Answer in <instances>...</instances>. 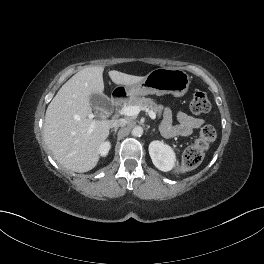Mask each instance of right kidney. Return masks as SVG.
Wrapping results in <instances>:
<instances>
[{"label": "right kidney", "mask_w": 264, "mask_h": 264, "mask_svg": "<svg viewBox=\"0 0 264 264\" xmlns=\"http://www.w3.org/2000/svg\"><path fill=\"white\" fill-rule=\"evenodd\" d=\"M111 148V145L109 142H104L99 147V153L101 156H106Z\"/></svg>", "instance_id": "obj_1"}]
</instances>
